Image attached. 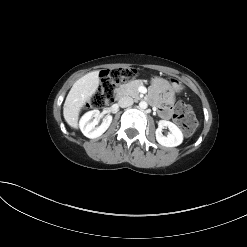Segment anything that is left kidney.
Returning a JSON list of instances; mask_svg holds the SVG:
<instances>
[{"label": "left kidney", "instance_id": "5707ae66", "mask_svg": "<svg viewBox=\"0 0 247 247\" xmlns=\"http://www.w3.org/2000/svg\"><path fill=\"white\" fill-rule=\"evenodd\" d=\"M168 127L170 134L164 136L162 134V129ZM156 140L159 144L166 147H175L183 142V134L181 130L172 122L161 120L158 123V128L156 129Z\"/></svg>", "mask_w": 247, "mask_h": 247}]
</instances>
